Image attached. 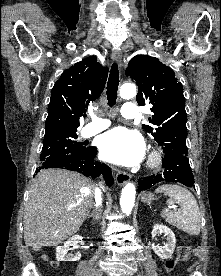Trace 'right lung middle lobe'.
<instances>
[{"mask_svg":"<svg viewBox=\"0 0 221 276\" xmlns=\"http://www.w3.org/2000/svg\"><path fill=\"white\" fill-rule=\"evenodd\" d=\"M76 132H54L44 135L40 161L57 159L66 156L85 155L90 151L82 143L77 142Z\"/></svg>","mask_w":221,"mask_h":276,"instance_id":"dd1d6c3e","label":"right lung middle lobe"}]
</instances>
